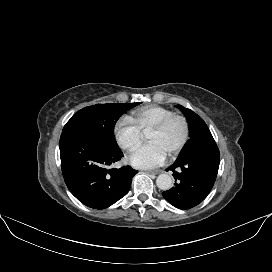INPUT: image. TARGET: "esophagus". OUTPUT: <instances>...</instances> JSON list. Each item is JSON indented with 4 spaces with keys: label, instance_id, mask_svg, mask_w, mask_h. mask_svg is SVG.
Returning a JSON list of instances; mask_svg holds the SVG:
<instances>
[{
    "label": "esophagus",
    "instance_id": "1",
    "mask_svg": "<svg viewBox=\"0 0 272 272\" xmlns=\"http://www.w3.org/2000/svg\"><path fill=\"white\" fill-rule=\"evenodd\" d=\"M145 173H147V174H155V175H157V174L162 173V171H161V170H152V171H145Z\"/></svg>",
    "mask_w": 272,
    "mask_h": 272
}]
</instances>
